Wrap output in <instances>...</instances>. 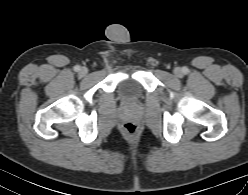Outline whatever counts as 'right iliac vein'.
Returning <instances> with one entry per match:
<instances>
[{
    "mask_svg": "<svg viewBox=\"0 0 248 195\" xmlns=\"http://www.w3.org/2000/svg\"><path fill=\"white\" fill-rule=\"evenodd\" d=\"M80 73H81V75L85 76L88 73V69L83 67L80 69Z\"/></svg>",
    "mask_w": 248,
    "mask_h": 195,
    "instance_id": "obj_1",
    "label": "right iliac vein"
}]
</instances>
